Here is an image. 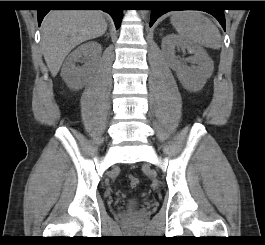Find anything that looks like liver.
<instances>
[{"label": "liver", "mask_w": 265, "mask_h": 245, "mask_svg": "<svg viewBox=\"0 0 265 245\" xmlns=\"http://www.w3.org/2000/svg\"><path fill=\"white\" fill-rule=\"evenodd\" d=\"M107 30L104 13L98 10H53L43 19L41 45L53 77L77 45L102 36Z\"/></svg>", "instance_id": "obj_1"}]
</instances>
